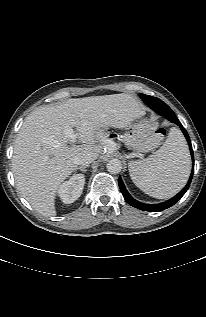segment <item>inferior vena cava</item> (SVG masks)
I'll list each match as a JSON object with an SVG mask.
<instances>
[{
	"label": "inferior vena cava",
	"mask_w": 206,
	"mask_h": 317,
	"mask_svg": "<svg viewBox=\"0 0 206 317\" xmlns=\"http://www.w3.org/2000/svg\"><path fill=\"white\" fill-rule=\"evenodd\" d=\"M96 153H91V152H86L80 155L79 157L76 158L75 163L77 165H89L91 162H93L97 158Z\"/></svg>",
	"instance_id": "602c4592"
}]
</instances>
